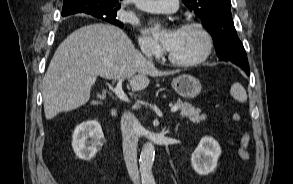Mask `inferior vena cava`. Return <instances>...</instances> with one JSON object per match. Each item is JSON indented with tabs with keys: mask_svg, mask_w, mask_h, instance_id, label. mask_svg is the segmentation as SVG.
Masks as SVG:
<instances>
[{
	"mask_svg": "<svg viewBox=\"0 0 293 184\" xmlns=\"http://www.w3.org/2000/svg\"><path fill=\"white\" fill-rule=\"evenodd\" d=\"M141 50L152 63V52L150 48L142 45ZM138 128L139 122L134 114L131 112H124L121 118L123 155L128 174L133 184H140L139 171L137 167Z\"/></svg>",
	"mask_w": 293,
	"mask_h": 184,
	"instance_id": "obj_1",
	"label": "inferior vena cava"
}]
</instances>
